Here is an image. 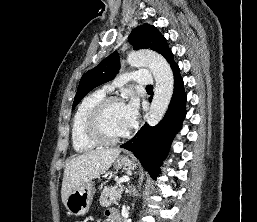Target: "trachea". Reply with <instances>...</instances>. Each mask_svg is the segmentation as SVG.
Here are the masks:
<instances>
[{"instance_id": "trachea-1", "label": "trachea", "mask_w": 257, "mask_h": 222, "mask_svg": "<svg viewBox=\"0 0 257 222\" xmlns=\"http://www.w3.org/2000/svg\"><path fill=\"white\" fill-rule=\"evenodd\" d=\"M146 88L153 89V86L152 85H148V86H146Z\"/></svg>"}]
</instances>
